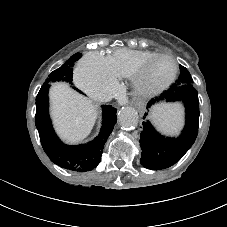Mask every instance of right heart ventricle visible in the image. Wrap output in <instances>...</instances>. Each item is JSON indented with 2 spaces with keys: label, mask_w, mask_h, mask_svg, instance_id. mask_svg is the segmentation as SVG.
<instances>
[{
  "label": "right heart ventricle",
  "mask_w": 227,
  "mask_h": 227,
  "mask_svg": "<svg viewBox=\"0 0 227 227\" xmlns=\"http://www.w3.org/2000/svg\"><path fill=\"white\" fill-rule=\"evenodd\" d=\"M154 51L120 48L107 58L113 74L120 78H132L142 65L156 55Z\"/></svg>",
  "instance_id": "1"
}]
</instances>
